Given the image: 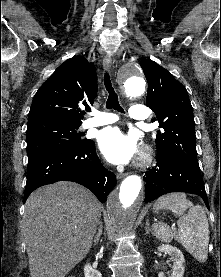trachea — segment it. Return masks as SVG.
I'll return each instance as SVG.
<instances>
[{"label": "trachea", "mask_w": 221, "mask_h": 277, "mask_svg": "<svg viewBox=\"0 0 221 277\" xmlns=\"http://www.w3.org/2000/svg\"><path fill=\"white\" fill-rule=\"evenodd\" d=\"M104 85L106 87V90L108 91V99L106 102V108L107 109H115L119 112H124L122 107L119 104L117 93L115 92L114 88L112 87L110 76L108 73H105L104 75Z\"/></svg>", "instance_id": "trachea-1"}]
</instances>
